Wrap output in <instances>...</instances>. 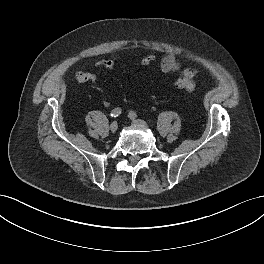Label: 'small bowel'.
<instances>
[{
    "instance_id": "obj_1",
    "label": "small bowel",
    "mask_w": 264,
    "mask_h": 264,
    "mask_svg": "<svg viewBox=\"0 0 264 264\" xmlns=\"http://www.w3.org/2000/svg\"><path fill=\"white\" fill-rule=\"evenodd\" d=\"M181 68L180 61L176 58V56L172 53L164 56L160 62V70L163 73H175L178 72ZM190 72L191 77H195L197 74V70L193 68H187ZM76 78L79 82H95L97 80V75L90 72L78 71L76 73Z\"/></svg>"
}]
</instances>
